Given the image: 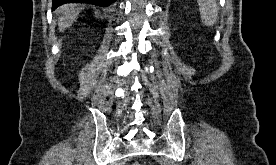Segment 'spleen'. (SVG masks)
Wrapping results in <instances>:
<instances>
[{"mask_svg":"<svg viewBox=\"0 0 276 165\" xmlns=\"http://www.w3.org/2000/svg\"><path fill=\"white\" fill-rule=\"evenodd\" d=\"M201 20L206 26L215 24L218 18V6L216 0H197Z\"/></svg>","mask_w":276,"mask_h":165,"instance_id":"3e777b00","label":"spleen"}]
</instances>
